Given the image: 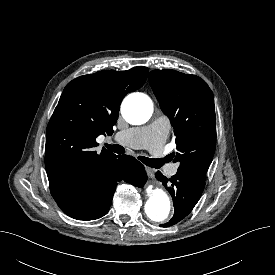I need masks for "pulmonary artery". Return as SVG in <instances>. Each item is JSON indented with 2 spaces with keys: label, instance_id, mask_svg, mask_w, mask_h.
Listing matches in <instances>:
<instances>
[{
  "label": "pulmonary artery",
  "instance_id": "pulmonary-artery-1",
  "mask_svg": "<svg viewBox=\"0 0 275 275\" xmlns=\"http://www.w3.org/2000/svg\"><path fill=\"white\" fill-rule=\"evenodd\" d=\"M169 130L168 121L160 117L150 125L143 127H132L119 131L115 134V139L126 146L136 149H147L152 154L157 155L161 152L162 144L165 141ZM177 173V166L170 165L169 175Z\"/></svg>",
  "mask_w": 275,
  "mask_h": 275
}]
</instances>
